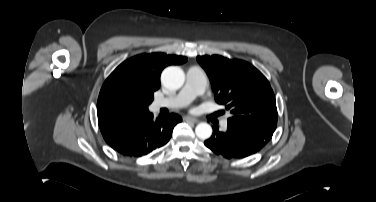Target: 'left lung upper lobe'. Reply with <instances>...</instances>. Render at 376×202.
Here are the masks:
<instances>
[{
	"instance_id": "obj_1",
	"label": "left lung upper lobe",
	"mask_w": 376,
	"mask_h": 202,
	"mask_svg": "<svg viewBox=\"0 0 376 202\" xmlns=\"http://www.w3.org/2000/svg\"><path fill=\"white\" fill-rule=\"evenodd\" d=\"M215 92V100L230 111V120L271 130L277 126L273 90L264 75L251 64L219 55L198 56Z\"/></svg>"
}]
</instances>
